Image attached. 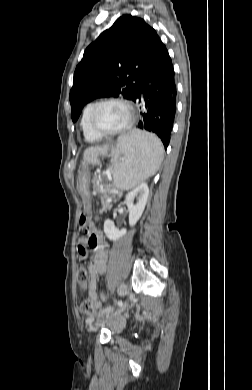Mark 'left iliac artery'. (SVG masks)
<instances>
[{
	"mask_svg": "<svg viewBox=\"0 0 252 390\" xmlns=\"http://www.w3.org/2000/svg\"><path fill=\"white\" fill-rule=\"evenodd\" d=\"M117 305L121 307V306L123 305L122 301H118V302H117ZM102 314H103V313H101V315H102ZM99 315H100V314H99Z\"/></svg>",
	"mask_w": 252,
	"mask_h": 390,
	"instance_id": "left-iliac-artery-1",
	"label": "left iliac artery"
}]
</instances>
